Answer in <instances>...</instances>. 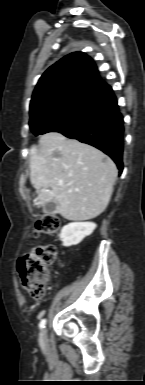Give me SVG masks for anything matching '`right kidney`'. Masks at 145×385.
Returning <instances> with one entry per match:
<instances>
[{
  "mask_svg": "<svg viewBox=\"0 0 145 385\" xmlns=\"http://www.w3.org/2000/svg\"><path fill=\"white\" fill-rule=\"evenodd\" d=\"M95 228L96 224L93 222H73L65 225L60 233L63 246L79 244L86 236L91 235Z\"/></svg>",
  "mask_w": 145,
  "mask_h": 385,
  "instance_id": "ca27d5eb",
  "label": "right kidney"
}]
</instances>
